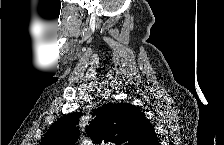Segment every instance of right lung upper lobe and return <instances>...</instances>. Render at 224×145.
Instances as JSON below:
<instances>
[{
	"mask_svg": "<svg viewBox=\"0 0 224 145\" xmlns=\"http://www.w3.org/2000/svg\"><path fill=\"white\" fill-rule=\"evenodd\" d=\"M94 113L97 117L86 128V133L96 144L152 145L157 140L143 112L129 103H108ZM80 115L76 112L57 120L46 132L41 145H74Z\"/></svg>",
	"mask_w": 224,
	"mask_h": 145,
	"instance_id": "cb5924a9",
	"label": "right lung upper lobe"
}]
</instances>
